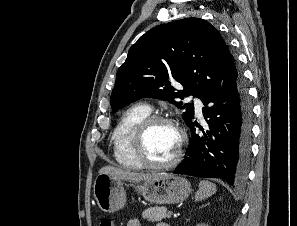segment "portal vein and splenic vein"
<instances>
[{
    "mask_svg": "<svg viewBox=\"0 0 297 226\" xmlns=\"http://www.w3.org/2000/svg\"><path fill=\"white\" fill-rule=\"evenodd\" d=\"M168 213H169L170 215H173V211H169ZM174 216H175V215H174Z\"/></svg>",
    "mask_w": 297,
    "mask_h": 226,
    "instance_id": "18ae733b",
    "label": "portal vein and splenic vein"
}]
</instances>
